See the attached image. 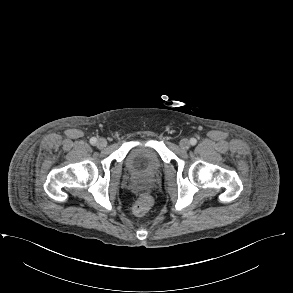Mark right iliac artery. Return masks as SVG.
Returning a JSON list of instances; mask_svg holds the SVG:
<instances>
[{"label": "right iliac artery", "instance_id": "82829eb1", "mask_svg": "<svg viewBox=\"0 0 293 293\" xmlns=\"http://www.w3.org/2000/svg\"><path fill=\"white\" fill-rule=\"evenodd\" d=\"M96 142H97V139L95 137H93V138L90 139V143L92 145L96 144Z\"/></svg>", "mask_w": 293, "mask_h": 293}]
</instances>
